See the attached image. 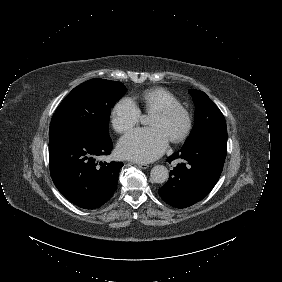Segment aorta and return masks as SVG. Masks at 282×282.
<instances>
[{
    "label": "aorta",
    "mask_w": 282,
    "mask_h": 282,
    "mask_svg": "<svg viewBox=\"0 0 282 282\" xmlns=\"http://www.w3.org/2000/svg\"><path fill=\"white\" fill-rule=\"evenodd\" d=\"M148 120L147 115L140 117L141 124H147ZM150 177L154 183H164L169 177L168 169L164 165H156L151 169Z\"/></svg>",
    "instance_id": "762f6f07"
}]
</instances>
